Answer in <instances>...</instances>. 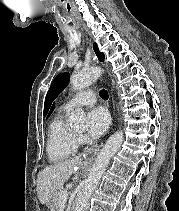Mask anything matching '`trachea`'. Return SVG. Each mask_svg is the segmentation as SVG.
Returning a JSON list of instances; mask_svg holds the SVG:
<instances>
[{"label":"trachea","instance_id":"1","mask_svg":"<svg viewBox=\"0 0 179 211\" xmlns=\"http://www.w3.org/2000/svg\"><path fill=\"white\" fill-rule=\"evenodd\" d=\"M100 96L103 98V99H108V92L105 90V89H103V90H101L100 91Z\"/></svg>","mask_w":179,"mask_h":211}]
</instances>
